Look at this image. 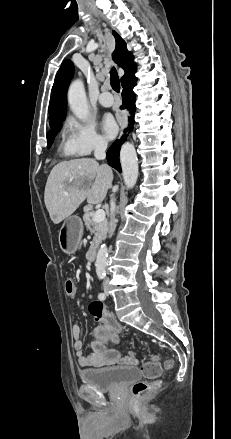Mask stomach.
I'll return each instance as SVG.
<instances>
[{
    "mask_svg": "<svg viewBox=\"0 0 231 439\" xmlns=\"http://www.w3.org/2000/svg\"><path fill=\"white\" fill-rule=\"evenodd\" d=\"M83 236V223L78 216H69L65 219L59 231V245L66 254L76 252Z\"/></svg>",
    "mask_w": 231,
    "mask_h": 439,
    "instance_id": "1",
    "label": "stomach"
}]
</instances>
